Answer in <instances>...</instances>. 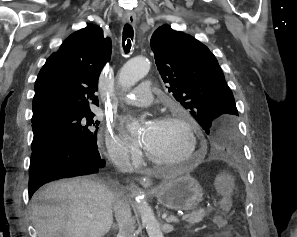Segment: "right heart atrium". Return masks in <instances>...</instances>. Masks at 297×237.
Returning a JSON list of instances; mask_svg holds the SVG:
<instances>
[{
    "instance_id": "d8ad5b80",
    "label": "right heart atrium",
    "mask_w": 297,
    "mask_h": 237,
    "mask_svg": "<svg viewBox=\"0 0 297 237\" xmlns=\"http://www.w3.org/2000/svg\"><path fill=\"white\" fill-rule=\"evenodd\" d=\"M107 155L120 165L136 164L140 151L138 147L122 134L115 132L112 126L107 128Z\"/></svg>"
}]
</instances>
